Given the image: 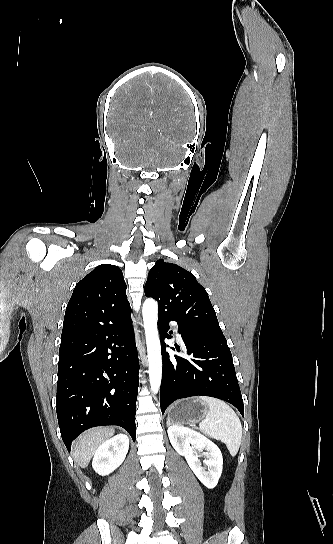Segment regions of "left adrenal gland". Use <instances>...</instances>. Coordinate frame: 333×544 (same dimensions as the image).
Instances as JSON below:
<instances>
[{"label":"left adrenal gland","mask_w":333,"mask_h":544,"mask_svg":"<svg viewBox=\"0 0 333 544\" xmlns=\"http://www.w3.org/2000/svg\"><path fill=\"white\" fill-rule=\"evenodd\" d=\"M166 424H167V426H170V424H171V423H170V420H167V423H166Z\"/></svg>","instance_id":"left-adrenal-gland-1"}]
</instances>
